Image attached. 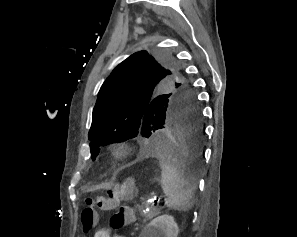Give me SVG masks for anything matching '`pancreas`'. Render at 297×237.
<instances>
[{"instance_id":"obj_1","label":"pancreas","mask_w":297,"mask_h":237,"mask_svg":"<svg viewBox=\"0 0 297 237\" xmlns=\"http://www.w3.org/2000/svg\"><path fill=\"white\" fill-rule=\"evenodd\" d=\"M159 210L154 208V207H150V210L148 212H142V216H144L146 219H152L153 217H155L157 214H159Z\"/></svg>"}]
</instances>
